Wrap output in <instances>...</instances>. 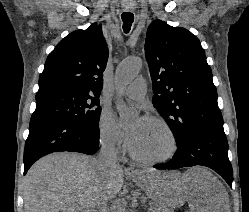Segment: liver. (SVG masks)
I'll list each match as a JSON object with an SVG mask.
<instances>
[{"mask_svg":"<svg viewBox=\"0 0 249 212\" xmlns=\"http://www.w3.org/2000/svg\"><path fill=\"white\" fill-rule=\"evenodd\" d=\"M134 184L154 204L191 212H229V196L212 172L194 166L185 174L135 170ZM124 170L98 168L93 158L76 152L44 156L28 170L23 182L25 212H103L123 188Z\"/></svg>","mask_w":249,"mask_h":212,"instance_id":"obj_1","label":"liver"}]
</instances>
